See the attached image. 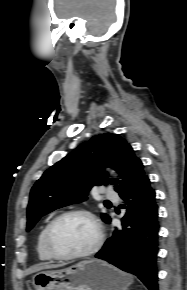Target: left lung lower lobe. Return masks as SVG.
<instances>
[{
    "label": "left lung lower lobe",
    "mask_w": 187,
    "mask_h": 290,
    "mask_svg": "<svg viewBox=\"0 0 187 290\" xmlns=\"http://www.w3.org/2000/svg\"><path fill=\"white\" fill-rule=\"evenodd\" d=\"M120 197L127 209L123 229H116L95 257L136 275L149 290H158V206L149 178L144 174Z\"/></svg>",
    "instance_id": "obj_1"
}]
</instances>
